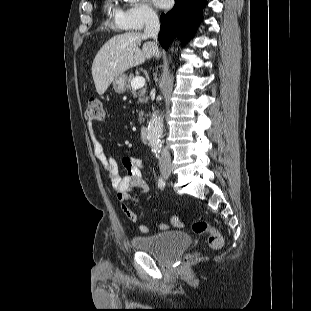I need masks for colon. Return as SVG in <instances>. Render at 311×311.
<instances>
[{
  "mask_svg": "<svg viewBox=\"0 0 311 311\" xmlns=\"http://www.w3.org/2000/svg\"><path fill=\"white\" fill-rule=\"evenodd\" d=\"M86 118L89 121H101L103 119V106L99 99L93 98L88 102ZM193 232L196 234H208V244L212 249H219L223 245L221 234L210 223L197 219L192 224ZM193 254L188 257H192Z\"/></svg>",
  "mask_w": 311,
  "mask_h": 311,
  "instance_id": "1",
  "label": "colon"
}]
</instances>
